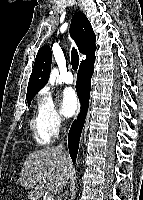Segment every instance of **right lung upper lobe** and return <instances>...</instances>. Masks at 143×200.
I'll use <instances>...</instances> for the list:
<instances>
[{
  "instance_id": "right-lung-upper-lobe-1",
  "label": "right lung upper lobe",
  "mask_w": 143,
  "mask_h": 200,
  "mask_svg": "<svg viewBox=\"0 0 143 200\" xmlns=\"http://www.w3.org/2000/svg\"><path fill=\"white\" fill-rule=\"evenodd\" d=\"M70 35L75 40L79 51L86 55V59L94 55L96 50V36L84 13L77 12L72 17ZM51 63V49L48 45H45L39 49L34 62L27 88V100L33 99L38 91L41 90L48 82Z\"/></svg>"
}]
</instances>
